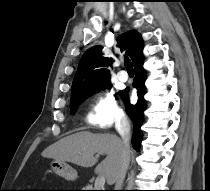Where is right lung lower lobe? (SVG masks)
I'll list each match as a JSON object with an SVG mask.
<instances>
[{
  "instance_id": "right-lung-lower-lobe-1",
  "label": "right lung lower lobe",
  "mask_w": 210,
  "mask_h": 191,
  "mask_svg": "<svg viewBox=\"0 0 210 191\" xmlns=\"http://www.w3.org/2000/svg\"><path fill=\"white\" fill-rule=\"evenodd\" d=\"M134 69H135V78L133 80V87L137 89L138 94V102L135 105H132L129 102L127 92L129 88H126L123 92L124 94H121L122 99L124 100V103L127 107V113L130 116L132 122H133V137H132V145L134 149H138L141 141H142V132L140 130V127L143 123V112L145 111L146 105L144 100V94H145V80H146V71L143 68V53H141L136 57L134 63Z\"/></svg>"
}]
</instances>
